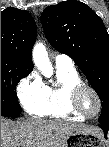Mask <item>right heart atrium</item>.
Segmentation results:
<instances>
[{
    "label": "right heart atrium",
    "mask_w": 109,
    "mask_h": 147,
    "mask_svg": "<svg viewBox=\"0 0 109 147\" xmlns=\"http://www.w3.org/2000/svg\"><path fill=\"white\" fill-rule=\"evenodd\" d=\"M17 95L24 106L30 103H40L46 96L44 84L34 75H29L19 82Z\"/></svg>",
    "instance_id": "1"
}]
</instances>
